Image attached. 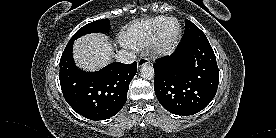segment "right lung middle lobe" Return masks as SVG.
I'll list each match as a JSON object with an SVG mask.
<instances>
[{"label": "right lung middle lobe", "instance_id": "obj_1", "mask_svg": "<svg viewBox=\"0 0 276 138\" xmlns=\"http://www.w3.org/2000/svg\"><path fill=\"white\" fill-rule=\"evenodd\" d=\"M110 24L109 19L96 20L80 28L70 39V41H75L77 38L95 32H107L109 31Z\"/></svg>", "mask_w": 276, "mask_h": 138}]
</instances>
